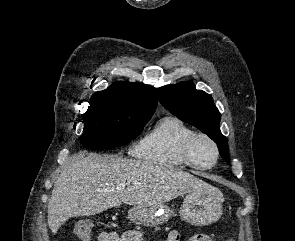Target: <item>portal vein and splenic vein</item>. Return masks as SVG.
Masks as SVG:
<instances>
[{
	"instance_id": "1",
	"label": "portal vein and splenic vein",
	"mask_w": 295,
	"mask_h": 241,
	"mask_svg": "<svg viewBox=\"0 0 295 241\" xmlns=\"http://www.w3.org/2000/svg\"><path fill=\"white\" fill-rule=\"evenodd\" d=\"M123 188H125V184H119V185H117L116 190H120Z\"/></svg>"
}]
</instances>
